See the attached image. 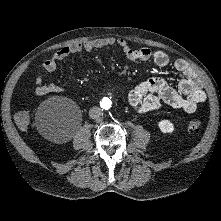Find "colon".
I'll use <instances>...</instances> for the list:
<instances>
[{
	"label": "colon",
	"instance_id": "1",
	"mask_svg": "<svg viewBox=\"0 0 221 221\" xmlns=\"http://www.w3.org/2000/svg\"><path fill=\"white\" fill-rule=\"evenodd\" d=\"M16 124L20 129L28 128L30 123V114L28 110H22L15 115ZM188 129L191 132H199L201 129V122L199 120H192L188 124Z\"/></svg>",
	"mask_w": 221,
	"mask_h": 221
}]
</instances>
